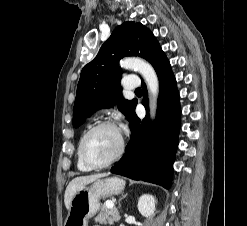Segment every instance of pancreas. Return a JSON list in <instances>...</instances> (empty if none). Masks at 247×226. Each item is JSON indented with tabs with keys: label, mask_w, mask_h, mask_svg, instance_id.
Listing matches in <instances>:
<instances>
[{
	"label": "pancreas",
	"mask_w": 247,
	"mask_h": 226,
	"mask_svg": "<svg viewBox=\"0 0 247 226\" xmlns=\"http://www.w3.org/2000/svg\"><path fill=\"white\" fill-rule=\"evenodd\" d=\"M117 220H118L117 209L115 207L109 209L105 204L102 205L100 213L95 218V221H98L100 223H108V224H112Z\"/></svg>",
	"instance_id": "cf45deb5"
}]
</instances>
